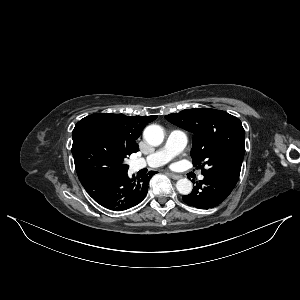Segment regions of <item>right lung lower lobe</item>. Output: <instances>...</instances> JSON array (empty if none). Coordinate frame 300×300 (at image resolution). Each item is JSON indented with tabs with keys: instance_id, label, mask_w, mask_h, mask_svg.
Wrapping results in <instances>:
<instances>
[{
	"instance_id": "1",
	"label": "right lung lower lobe",
	"mask_w": 300,
	"mask_h": 300,
	"mask_svg": "<svg viewBox=\"0 0 300 300\" xmlns=\"http://www.w3.org/2000/svg\"><path fill=\"white\" fill-rule=\"evenodd\" d=\"M156 172L128 177L124 174H103L81 180L87 193L101 206L122 211L139 204L146 197L149 180Z\"/></svg>"
}]
</instances>
